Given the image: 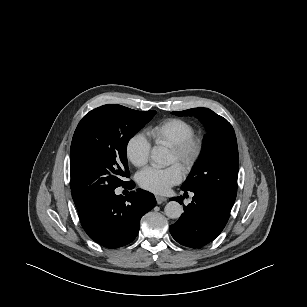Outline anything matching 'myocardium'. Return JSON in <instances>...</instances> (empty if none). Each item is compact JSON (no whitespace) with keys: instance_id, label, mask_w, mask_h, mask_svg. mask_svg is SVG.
I'll return each mask as SVG.
<instances>
[{"instance_id":"1","label":"myocardium","mask_w":307,"mask_h":307,"mask_svg":"<svg viewBox=\"0 0 307 307\" xmlns=\"http://www.w3.org/2000/svg\"><path fill=\"white\" fill-rule=\"evenodd\" d=\"M204 151V141L200 136L192 135L179 144L171 147L177 163L186 172L191 171L199 162Z\"/></svg>"}]
</instances>
